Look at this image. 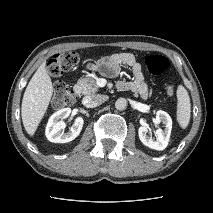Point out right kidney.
Here are the masks:
<instances>
[{
  "label": "right kidney",
  "mask_w": 213,
  "mask_h": 213,
  "mask_svg": "<svg viewBox=\"0 0 213 213\" xmlns=\"http://www.w3.org/2000/svg\"><path fill=\"white\" fill-rule=\"evenodd\" d=\"M71 114L70 108H64L55 112L48 120L46 126V137L50 142L67 143L74 140L81 132L83 127V118L77 117L70 131L64 133L66 125L63 119H66Z\"/></svg>",
  "instance_id": "obj_1"
}]
</instances>
